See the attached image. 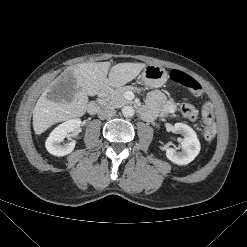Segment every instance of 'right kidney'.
Masks as SVG:
<instances>
[{
  "mask_svg": "<svg viewBox=\"0 0 247 247\" xmlns=\"http://www.w3.org/2000/svg\"><path fill=\"white\" fill-rule=\"evenodd\" d=\"M81 125L79 118L68 120L57 126L49 135L45 142L47 151L55 156H65L70 154L75 148V141L61 145L65 137L74 131H77Z\"/></svg>",
  "mask_w": 247,
  "mask_h": 247,
  "instance_id": "right-kidney-1",
  "label": "right kidney"
}]
</instances>
